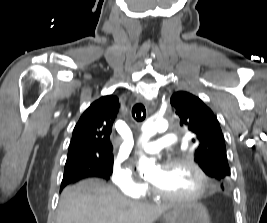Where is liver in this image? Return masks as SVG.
I'll return each instance as SVG.
<instances>
[{"mask_svg":"<svg viewBox=\"0 0 267 223\" xmlns=\"http://www.w3.org/2000/svg\"><path fill=\"white\" fill-rule=\"evenodd\" d=\"M172 208L129 200L104 181L87 179L63 190L57 223H153Z\"/></svg>","mask_w":267,"mask_h":223,"instance_id":"6515ba94","label":"liver"}]
</instances>
